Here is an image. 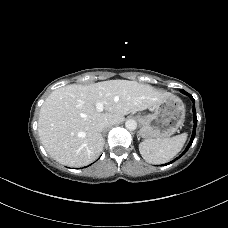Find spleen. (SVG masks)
<instances>
[{"instance_id": "3e777b00", "label": "spleen", "mask_w": 228, "mask_h": 228, "mask_svg": "<svg viewBox=\"0 0 228 228\" xmlns=\"http://www.w3.org/2000/svg\"><path fill=\"white\" fill-rule=\"evenodd\" d=\"M187 133L159 140H145L139 144L143 159L151 164H163L170 161L182 149Z\"/></svg>"}]
</instances>
